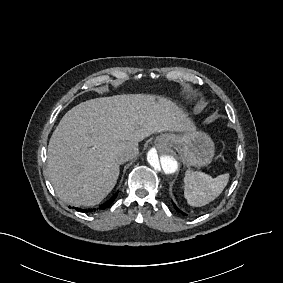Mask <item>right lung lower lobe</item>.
<instances>
[{
    "instance_id": "1",
    "label": "right lung lower lobe",
    "mask_w": 283,
    "mask_h": 283,
    "mask_svg": "<svg viewBox=\"0 0 283 283\" xmlns=\"http://www.w3.org/2000/svg\"><path fill=\"white\" fill-rule=\"evenodd\" d=\"M116 196H117V193L114 194L107 202H105L104 204H102L101 206H99L98 209H102V210L106 209V208L115 200ZM76 210H77V211H80V212H82V211H83V212L96 211L95 208H94V209H90V210H82V209H80V208H77Z\"/></svg>"
}]
</instances>
